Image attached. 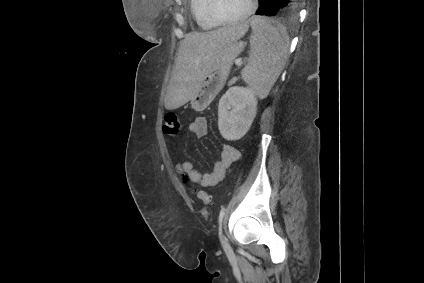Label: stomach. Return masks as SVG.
I'll return each mask as SVG.
<instances>
[{
    "label": "stomach",
    "instance_id": "0dacf381",
    "mask_svg": "<svg viewBox=\"0 0 424 283\" xmlns=\"http://www.w3.org/2000/svg\"><path fill=\"white\" fill-rule=\"evenodd\" d=\"M244 46V42L236 40L224 48L222 54L210 69V71L205 75L199 89L191 99V105L194 109L198 111L204 109V105L199 107V102L203 98L204 94H210V99H208L207 102H211L214 96L219 92L223 83L227 79L228 74L230 73V69L234 60L243 51Z\"/></svg>",
    "mask_w": 424,
    "mask_h": 283
}]
</instances>
